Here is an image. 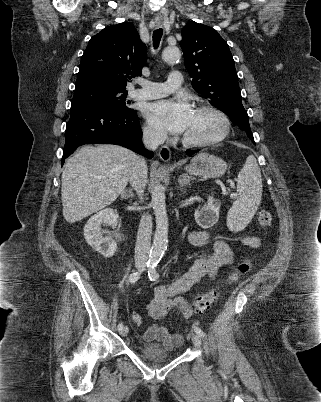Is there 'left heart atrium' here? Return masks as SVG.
<instances>
[{
	"mask_svg": "<svg viewBox=\"0 0 321 402\" xmlns=\"http://www.w3.org/2000/svg\"><path fill=\"white\" fill-rule=\"evenodd\" d=\"M192 109L183 99H164L148 103L143 115L156 130L184 133L192 116Z\"/></svg>",
	"mask_w": 321,
	"mask_h": 402,
	"instance_id": "left-heart-atrium-1",
	"label": "left heart atrium"
}]
</instances>
